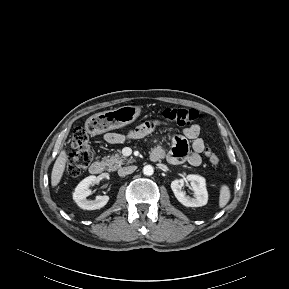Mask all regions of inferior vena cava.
I'll return each instance as SVG.
<instances>
[{"label": "inferior vena cava", "mask_w": 289, "mask_h": 289, "mask_svg": "<svg viewBox=\"0 0 289 289\" xmlns=\"http://www.w3.org/2000/svg\"><path fill=\"white\" fill-rule=\"evenodd\" d=\"M137 169V166H127V167H122L118 170V175L121 177H124L128 174L133 173Z\"/></svg>", "instance_id": "inferior-vena-cava-1"}]
</instances>
